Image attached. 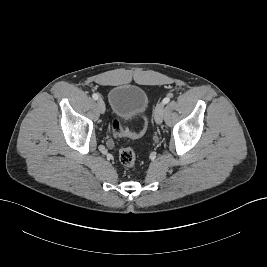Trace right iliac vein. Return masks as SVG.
Masks as SVG:
<instances>
[{"mask_svg": "<svg viewBox=\"0 0 267 267\" xmlns=\"http://www.w3.org/2000/svg\"><path fill=\"white\" fill-rule=\"evenodd\" d=\"M97 106H98L100 113L103 114L105 112V103L101 98L97 100Z\"/></svg>", "mask_w": 267, "mask_h": 267, "instance_id": "obj_1", "label": "right iliac vein"}]
</instances>
